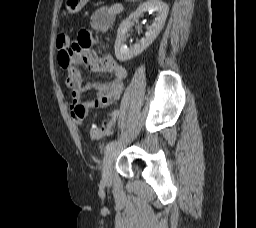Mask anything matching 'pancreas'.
<instances>
[{"label": "pancreas", "instance_id": "cf45deb5", "mask_svg": "<svg viewBox=\"0 0 256 228\" xmlns=\"http://www.w3.org/2000/svg\"><path fill=\"white\" fill-rule=\"evenodd\" d=\"M127 2H135L136 0H126Z\"/></svg>", "mask_w": 256, "mask_h": 228}]
</instances>
